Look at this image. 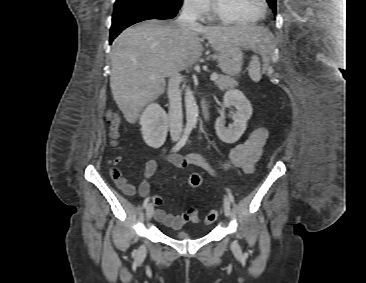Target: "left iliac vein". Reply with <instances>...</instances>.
I'll list each match as a JSON object with an SVG mask.
<instances>
[{
	"mask_svg": "<svg viewBox=\"0 0 366 283\" xmlns=\"http://www.w3.org/2000/svg\"><path fill=\"white\" fill-rule=\"evenodd\" d=\"M223 209H224V213L227 217H230L231 216V205H230V201L228 200L227 197H224V201H223ZM233 246L235 248L238 247L237 243L234 242L233 243Z\"/></svg>",
	"mask_w": 366,
	"mask_h": 283,
	"instance_id": "4c4485c4",
	"label": "left iliac vein"
}]
</instances>
